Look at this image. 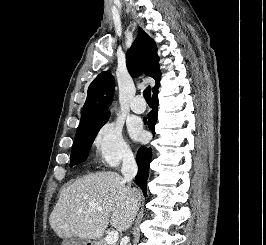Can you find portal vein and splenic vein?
Returning a JSON list of instances; mask_svg holds the SVG:
<instances>
[{
  "mask_svg": "<svg viewBox=\"0 0 266 245\" xmlns=\"http://www.w3.org/2000/svg\"><path fill=\"white\" fill-rule=\"evenodd\" d=\"M98 211H102V209H98ZM119 239V233L118 231H111L107 237H105V243L106 245H114V243H117Z\"/></svg>",
  "mask_w": 266,
  "mask_h": 245,
  "instance_id": "portal-vein-and-splenic-vein-1",
  "label": "portal vein and splenic vein"
}]
</instances>
